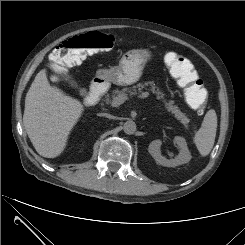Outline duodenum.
<instances>
[{
  "label": "duodenum",
  "mask_w": 245,
  "mask_h": 245,
  "mask_svg": "<svg viewBox=\"0 0 245 245\" xmlns=\"http://www.w3.org/2000/svg\"><path fill=\"white\" fill-rule=\"evenodd\" d=\"M104 93V87L102 83L94 82L91 85L89 93L84 98V103L88 106L95 105Z\"/></svg>",
  "instance_id": "1"
}]
</instances>
